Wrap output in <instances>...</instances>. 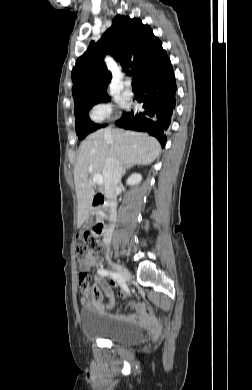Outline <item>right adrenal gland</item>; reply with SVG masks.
<instances>
[{"instance_id":"1","label":"right adrenal gland","mask_w":252,"mask_h":390,"mask_svg":"<svg viewBox=\"0 0 252 390\" xmlns=\"http://www.w3.org/2000/svg\"><path fill=\"white\" fill-rule=\"evenodd\" d=\"M131 167H132V165L125 166V168H124V170H123V173H122V176H124L125 173H126V170H127V169H130Z\"/></svg>"}]
</instances>
